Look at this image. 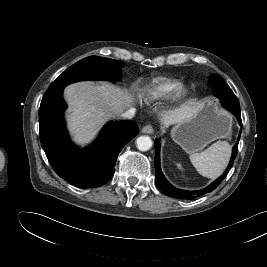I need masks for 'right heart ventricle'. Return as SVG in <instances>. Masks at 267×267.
Instances as JSON below:
<instances>
[{
    "label": "right heart ventricle",
    "instance_id": "1",
    "mask_svg": "<svg viewBox=\"0 0 267 267\" xmlns=\"http://www.w3.org/2000/svg\"><path fill=\"white\" fill-rule=\"evenodd\" d=\"M178 86L177 81L157 78L142 89L141 98L147 103L156 102L170 96Z\"/></svg>",
    "mask_w": 267,
    "mask_h": 267
}]
</instances>
